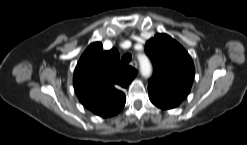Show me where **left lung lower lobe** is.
I'll use <instances>...</instances> for the list:
<instances>
[{"instance_id": "0a47b994", "label": "left lung lower lobe", "mask_w": 247, "mask_h": 145, "mask_svg": "<svg viewBox=\"0 0 247 145\" xmlns=\"http://www.w3.org/2000/svg\"><path fill=\"white\" fill-rule=\"evenodd\" d=\"M148 92L151 102L158 108L164 110L175 108L182 102V99L174 95L153 88H148Z\"/></svg>"}]
</instances>
